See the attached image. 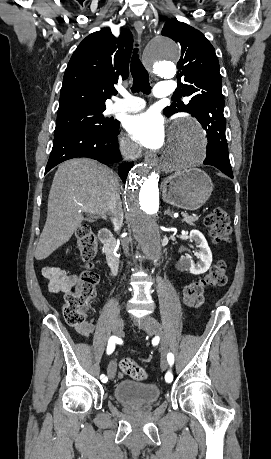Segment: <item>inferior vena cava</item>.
Instances as JSON below:
<instances>
[{"label":"inferior vena cava","instance_id":"inferior-vena-cava-1","mask_svg":"<svg viewBox=\"0 0 271 459\" xmlns=\"http://www.w3.org/2000/svg\"><path fill=\"white\" fill-rule=\"evenodd\" d=\"M115 184H112L109 192V198L107 202V212L111 216L113 224H122L123 212L121 208L120 196H119V182L115 178Z\"/></svg>","mask_w":271,"mask_h":459}]
</instances>
